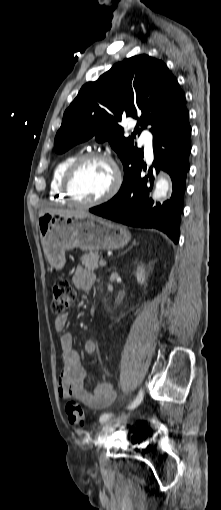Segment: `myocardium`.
I'll return each mask as SVG.
<instances>
[{"label": "myocardium", "instance_id": "f54148a6", "mask_svg": "<svg viewBox=\"0 0 221 510\" xmlns=\"http://www.w3.org/2000/svg\"><path fill=\"white\" fill-rule=\"evenodd\" d=\"M90 160H103L110 164L114 172V183L110 190L102 197L93 201H81L77 199L71 189L72 181L79 168ZM122 185V173L116 160L105 152H88L78 156L64 173L61 190L64 197L73 205L83 208H91L104 204L114 198Z\"/></svg>", "mask_w": 221, "mask_h": 510}]
</instances>
